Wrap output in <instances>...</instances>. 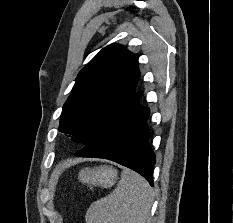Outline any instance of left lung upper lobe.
Returning a JSON list of instances; mask_svg holds the SVG:
<instances>
[{
    "instance_id": "obj_1",
    "label": "left lung upper lobe",
    "mask_w": 233,
    "mask_h": 223,
    "mask_svg": "<svg viewBox=\"0 0 233 223\" xmlns=\"http://www.w3.org/2000/svg\"><path fill=\"white\" fill-rule=\"evenodd\" d=\"M138 58L118 44L103 48L78 74L58 130L89 144L136 93Z\"/></svg>"
}]
</instances>
